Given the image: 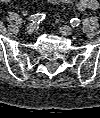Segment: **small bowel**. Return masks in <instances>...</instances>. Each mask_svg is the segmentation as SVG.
I'll use <instances>...</instances> for the list:
<instances>
[{"mask_svg":"<svg viewBox=\"0 0 100 118\" xmlns=\"http://www.w3.org/2000/svg\"><path fill=\"white\" fill-rule=\"evenodd\" d=\"M2 3H9L11 0H0ZM52 4H69L73 5L77 10H96L99 8L98 0H48Z\"/></svg>","mask_w":100,"mask_h":118,"instance_id":"c3829d8e","label":"small bowel"}]
</instances>
